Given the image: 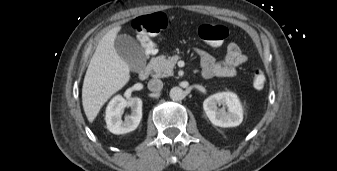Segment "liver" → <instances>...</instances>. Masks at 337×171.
I'll list each match as a JSON object with an SVG mask.
<instances>
[{
	"label": "liver",
	"instance_id": "6515ba94",
	"mask_svg": "<svg viewBox=\"0 0 337 171\" xmlns=\"http://www.w3.org/2000/svg\"><path fill=\"white\" fill-rule=\"evenodd\" d=\"M120 29V26L114 27L102 37L85 74L82 104L91 123L105 102L130 79V67L118 55L115 48V40Z\"/></svg>",
	"mask_w": 337,
	"mask_h": 171
}]
</instances>
